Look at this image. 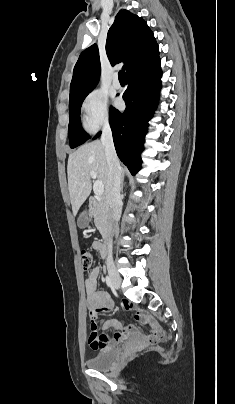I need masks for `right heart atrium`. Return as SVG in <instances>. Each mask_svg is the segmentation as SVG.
<instances>
[{"mask_svg": "<svg viewBox=\"0 0 235 404\" xmlns=\"http://www.w3.org/2000/svg\"><path fill=\"white\" fill-rule=\"evenodd\" d=\"M83 123L90 132L107 126L110 121L107 97L99 90L90 91L81 104Z\"/></svg>", "mask_w": 235, "mask_h": 404, "instance_id": "1", "label": "right heart atrium"}]
</instances>
